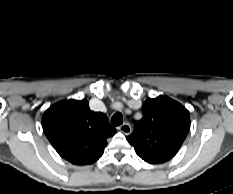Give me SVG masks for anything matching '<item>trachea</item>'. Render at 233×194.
<instances>
[{
  "label": "trachea",
  "mask_w": 233,
  "mask_h": 194,
  "mask_svg": "<svg viewBox=\"0 0 233 194\" xmlns=\"http://www.w3.org/2000/svg\"><path fill=\"white\" fill-rule=\"evenodd\" d=\"M123 123V116L121 113L117 112L115 113L111 118V125L112 126H118Z\"/></svg>",
  "instance_id": "3493384b"
}]
</instances>
